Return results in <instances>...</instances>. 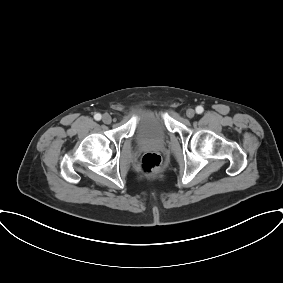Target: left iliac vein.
Returning <instances> with one entry per match:
<instances>
[{
  "label": "left iliac vein",
  "instance_id": "obj_1",
  "mask_svg": "<svg viewBox=\"0 0 283 283\" xmlns=\"http://www.w3.org/2000/svg\"><path fill=\"white\" fill-rule=\"evenodd\" d=\"M186 115L188 118H193L195 116V110L191 108L187 109Z\"/></svg>",
  "mask_w": 283,
  "mask_h": 283
}]
</instances>
